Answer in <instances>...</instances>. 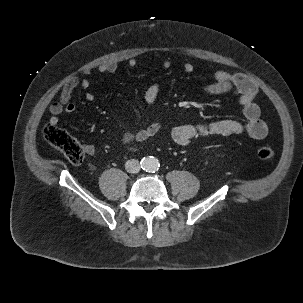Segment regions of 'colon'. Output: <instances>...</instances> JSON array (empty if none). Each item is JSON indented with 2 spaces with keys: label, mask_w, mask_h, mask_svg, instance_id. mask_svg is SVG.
I'll list each match as a JSON object with an SVG mask.
<instances>
[{
  "label": "colon",
  "mask_w": 303,
  "mask_h": 303,
  "mask_svg": "<svg viewBox=\"0 0 303 303\" xmlns=\"http://www.w3.org/2000/svg\"><path fill=\"white\" fill-rule=\"evenodd\" d=\"M44 139L55 149L61 152L71 163L81 164L85 159V150L77 139L66 130L48 123L43 130ZM257 156L262 160L273 157V150L268 146L257 149Z\"/></svg>",
  "instance_id": "5ec220e1"
}]
</instances>
